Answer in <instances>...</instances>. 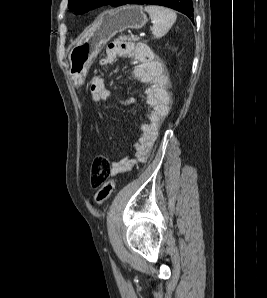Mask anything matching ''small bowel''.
Here are the masks:
<instances>
[{
  "mask_svg": "<svg viewBox=\"0 0 267 298\" xmlns=\"http://www.w3.org/2000/svg\"><path fill=\"white\" fill-rule=\"evenodd\" d=\"M118 57L131 59L135 66L132 76L145 86V103L147 105L145 122L140 124L139 138L134 144V157H123L112 162L113 175L129 171L136 162L147 160L159 129L169 114L171 95L169 93L170 78L168 71L151 49L141 43L114 41L106 49L105 57L100 64L106 66L116 61ZM92 101L106 102L112 95L104 77L95 74L88 80ZM134 99H129L133 103Z\"/></svg>",
  "mask_w": 267,
  "mask_h": 298,
  "instance_id": "small-bowel-1",
  "label": "small bowel"
}]
</instances>
